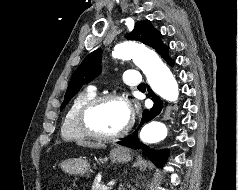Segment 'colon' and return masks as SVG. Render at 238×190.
I'll return each mask as SVG.
<instances>
[{"mask_svg":"<svg viewBox=\"0 0 238 190\" xmlns=\"http://www.w3.org/2000/svg\"><path fill=\"white\" fill-rule=\"evenodd\" d=\"M63 190H74V188H72V187H66V188H64Z\"/></svg>","mask_w":238,"mask_h":190,"instance_id":"5ec220e1","label":"colon"}]
</instances>
